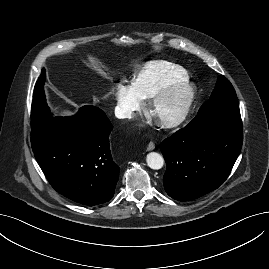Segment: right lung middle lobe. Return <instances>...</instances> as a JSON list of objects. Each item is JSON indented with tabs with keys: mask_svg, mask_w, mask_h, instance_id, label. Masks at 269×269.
Segmentation results:
<instances>
[{
	"mask_svg": "<svg viewBox=\"0 0 269 269\" xmlns=\"http://www.w3.org/2000/svg\"><path fill=\"white\" fill-rule=\"evenodd\" d=\"M45 82V73H42L36 82L34 88V95L31 107V129L37 130L44 124L50 117L51 113L47 106L45 94L43 90Z\"/></svg>",
	"mask_w": 269,
	"mask_h": 269,
	"instance_id": "obj_1",
	"label": "right lung middle lobe"
}]
</instances>
